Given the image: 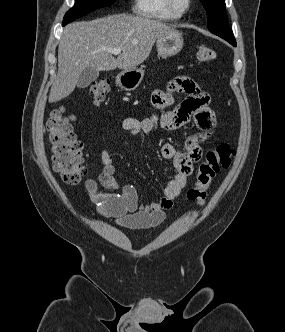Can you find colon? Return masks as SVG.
<instances>
[{
	"label": "colon",
	"instance_id": "colon-1",
	"mask_svg": "<svg viewBox=\"0 0 285 332\" xmlns=\"http://www.w3.org/2000/svg\"><path fill=\"white\" fill-rule=\"evenodd\" d=\"M196 57L199 63L210 65L217 59V53L207 45H200ZM108 89V81L98 80L90 85L89 95L94 103L99 104L104 100ZM71 120L64 108H58L50 114L46 131L54 170L65 183L77 184L85 175L83 142L74 133ZM234 155L235 150L227 144L208 150L198 167L194 186L188 190L187 197L203 205L213 178L231 165Z\"/></svg>",
	"mask_w": 285,
	"mask_h": 332
}]
</instances>
